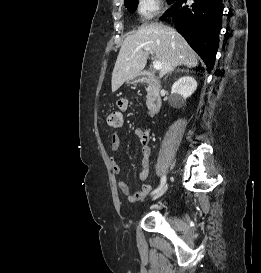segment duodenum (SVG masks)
Masks as SVG:
<instances>
[{
	"label": "duodenum",
	"mask_w": 261,
	"mask_h": 273,
	"mask_svg": "<svg viewBox=\"0 0 261 273\" xmlns=\"http://www.w3.org/2000/svg\"><path fill=\"white\" fill-rule=\"evenodd\" d=\"M139 82L147 83L151 86L152 92L149 97L148 107L150 113H157L161 107L162 98L158 91V82L156 76L148 71L143 72L139 77Z\"/></svg>",
	"instance_id": "obj_1"
}]
</instances>
